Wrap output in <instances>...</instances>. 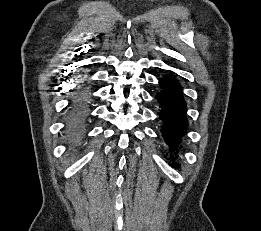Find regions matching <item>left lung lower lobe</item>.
I'll use <instances>...</instances> for the list:
<instances>
[{
  "label": "left lung lower lobe",
  "instance_id": "obj_1",
  "mask_svg": "<svg viewBox=\"0 0 261 231\" xmlns=\"http://www.w3.org/2000/svg\"><path fill=\"white\" fill-rule=\"evenodd\" d=\"M159 83L161 90L155 98L160 107L158 112L159 119L162 122L160 131L171 151L170 162L173 165H179L174 161L172 154L178 153L182 138L187 132L186 102L181 85L172 72L160 79Z\"/></svg>",
  "mask_w": 261,
  "mask_h": 231
}]
</instances>
